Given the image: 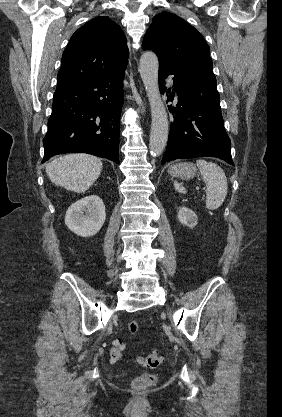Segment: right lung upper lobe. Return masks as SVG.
<instances>
[{
	"instance_id": "obj_1",
	"label": "right lung upper lobe",
	"mask_w": 282,
	"mask_h": 417,
	"mask_svg": "<svg viewBox=\"0 0 282 417\" xmlns=\"http://www.w3.org/2000/svg\"><path fill=\"white\" fill-rule=\"evenodd\" d=\"M128 56L121 28L108 16H97L72 35L62 55L57 88L122 71Z\"/></svg>"
}]
</instances>
